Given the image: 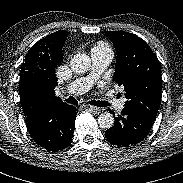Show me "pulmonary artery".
<instances>
[{
  "mask_svg": "<svg viewBox=\"0 0 183 183\" xmlns=\"http://www.w3.org/2000/svg\"><path fill=\"white\" fill-rule=\"evenodd\" d=\"M92 69L91 73L86 77H81L71 82L66 92L74 95H79L88 91L93 85L94 81L98 76L106 69L112 60V53L108 51H97L91 52ZM125 99L116 101L115 107L121 111L124 108Z\"/></svg>",
  "mask_w": 183,
  "mask_h": 183,
  "instance_id": "pulmonary-artery-1",
  "label": "pulmonary artery"
}]
</instances>
